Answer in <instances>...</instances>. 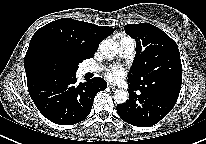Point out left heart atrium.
Wrapping results in <instances>:
<instances>
[{
	"label": "left heart atrium",
	"instance_id": "39dd6f15",
	"mask_svg": "<svg viewBox=\"0 0 206 144\" xmlns=\"http://www.w3.org/2000/svg\"><path fill=\"white\" fill-rule=\"evenodd\" d=\"M124 75L125 70L120 66H114L110 68L107 72V77L109 78V80L114 82L121 80L124 77Z\"/></svg>",
	"mask_w": 206,
	"mask_h": 144
}]
</instances>
